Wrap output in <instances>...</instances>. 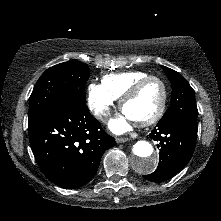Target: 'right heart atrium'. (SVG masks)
<instances>
[{"mask_svg":"<svg viewBox=\"0 0 221 221\" xmlns=\"http://www.w3.org/2000/svg\"><path fill=\"white\" fill-rule=\"evenodd\" d=\"M87 95L89 109L98 120L105 122L110 116L115 99L102 84L97 83L88 86Z\"/></svg>","mask_w":221,"mask_h":221,"instance_id":"1","label":"right heart atrium"}]
</instances>
